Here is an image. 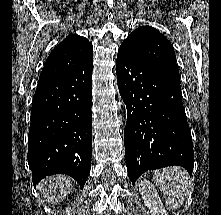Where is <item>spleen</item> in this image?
Returning a JSON list of instances; mask_svg holds the SVG:
<instances>
[{
	"label": "spleen",
	"instance_id": "3e777b00",
	"mask_svg": "<svg viewBox=\"0 0 221 215\" xmlns=\"http://www.w3.org/2000/svg\"><path fill=\"white\" fill-rule=\"evenodd\" d=\"M153 181L164 194L166 205L170 210H176L183 204L192 187L187 171L178 166L156 171Z\"/></svg>",
	"mask_w": 221,
	"mask_h": 215
}]
</instances>
